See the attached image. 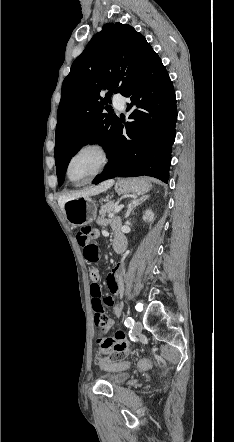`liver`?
I'll return each mask as SVG.
<instances>
[{
  "mask_svg": "<svg viewBox=\"0 0 234 442\" xmlns=\"http://www.w3.org/2000/svg\"><path fill=\"white\" fill-rule=\"evenodd\" d=\"M113 184H114V180L110 179V180H106V181L100 183L99 185H97L95 187L89 188L87 190L64 195V196L60 197L58 200L59 206L63 210V206L66 202L76 199V198H80V197L88 198L89 196L97 195L101 192H104L108 188H110Z\"/></svg>",
  "mask_w": 234,
  "mask_h": 442,
  "instance_id": "1",
  "label": "liver"
}]
</instances>
